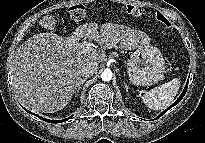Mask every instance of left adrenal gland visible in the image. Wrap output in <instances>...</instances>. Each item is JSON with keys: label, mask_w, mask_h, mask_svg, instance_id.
Segmentation results:
<instances>
[{"label": "left adrenal gland", "mask_w": 205, "mask_h": 143, "mask_svg": "<svg viewBox=\"0 0 205 143\" xmlns=\"http://www.w3.org/2000/svg\"><path fill=\"white\" fill-rule=\"evenodd\" d=\"M124 86H125V88H126V92H128V90H129V87H128V85H127V83L124 81Z\"/></svg>", "instance_id": "left-adrenal-gland-1"}]
</instances>
